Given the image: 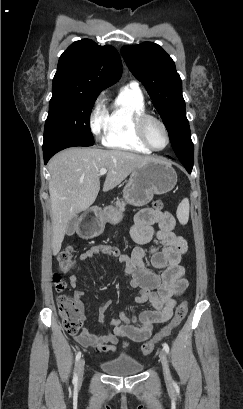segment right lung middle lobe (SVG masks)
I'll list each match as a JSON object with an SVG mask.
<instances>
[{
	"instance_id": "right-lung-middle-lobe-1",
	"label": "right lung middle lobe",
	"mask_w": 243,
	"mask_h": 409,
	"mask_svg": "<svg viewBox=\"0 0 243 409\" xmlns=\"http://www.w3.org/2000/svg\"><path fill=\"white\" fill-rule=\"evenodd\" d=\"M52 92L49 114L45 122L43 145L57 139L93 145L90 114L97 95L72 92L55 86Z\"/></svg>"
}]
</instances>
